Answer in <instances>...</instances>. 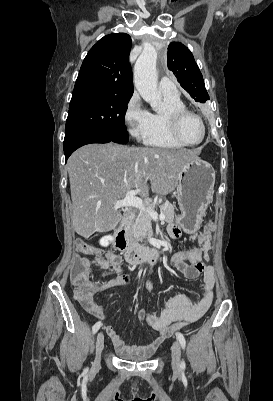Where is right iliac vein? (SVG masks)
<instances>
[{
	"label": "right iliac vein",
	"instance_id": "obj_1",
	"mask_svg": "<svg viewBox=\"0 0 273 401\" xmlns=\"http://www.w3.org/2000/svg\"><path fill=\"white\" fill-rule=\"evenodd\" d=\"M103 348H104V335L102 332H99L96 338V356L93 362V369L98 368L100 365V358Z\"/></svg>",
	"mask_w": 273,
	"mask_h": 401
}]
</instances>
